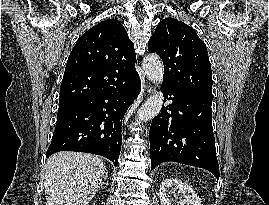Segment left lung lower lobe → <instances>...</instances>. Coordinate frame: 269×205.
Segmentation results:
<instances>
[{
  "label": "left lung lower lobe",
  "instance_id": "left-lung-lower-lobe-1",
  "mask_svg": "<svg viewBox=\"0 0 269 205\" xmlns=\"http://www.w3.org/2000/svg\"><path fill=\"white\" fill-rule=\"evenodd\" d=\"M161 89L172 103L162 108L150 126L151 170L173 161L207 169L218 179L212 93L182 92L164 84Z\"/></svg>",
  "mask_w": 269,
  "mask_h": 205
}]
</instances>
